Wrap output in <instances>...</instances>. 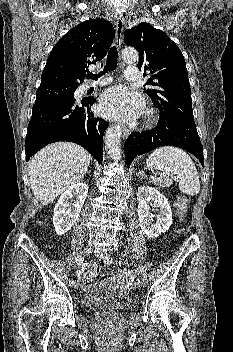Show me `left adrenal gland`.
Masks as SVG:
<instances>
[{"instance_id": "left-adrenal-gland-1", "label": "left adrenal gland", "mask_w": 233, "mask_h": 352, "mask_svg": "<svg viewBox=\"0 0 233 352\" xmlns=\"http://www.w3.org/2000/svg\"><path fill=\"white\" fill-rule=\"evenodd\" d=\"M136 175L139 177V176H143V172L140 171L139 173H136Z\"/></svg>"}]
</instances>
